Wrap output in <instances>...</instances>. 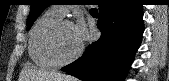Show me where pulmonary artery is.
Returning a JSON list of instances; mask_svg holds the SVG:
<instances>
[{
	"instance_id": "e3ab8cb5",
	"label": "pulmonary artery",
	"mask_w": 169,
	"mask_h": 81,
	"mask_svg": "<svg viewBox=\"0 0 169 81\" xmlns=\"http://www.w3.org/2000/svg\"><path fill=\"white\" fill-rule=\"evenodd\" d=\"M51 9L62 17H64L68 12V8H66L65 6H54Z\"/></svg>"
}]
</instances>
